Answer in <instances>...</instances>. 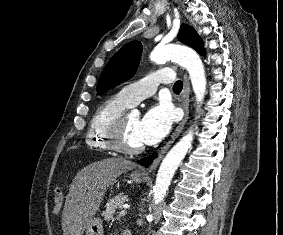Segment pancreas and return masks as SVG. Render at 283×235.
<instances>
[{"label":"pancreas","mask_w":283,"mask_h":235,"mask_svg":"<svg viewBox=\"0 0 283 235\" xmlns=\"http://www.w3.org/2000/svg\"><path fill=\"white\" fill-rule=\"evenodd\" d=\"M128 201V198L124 194H118L114 198L110 199L106 204V209L103 212L104 220L110 221L117 209H120L122 205Z\"/></svg>","instance_id":"pancreas-1"}]
</instances>
